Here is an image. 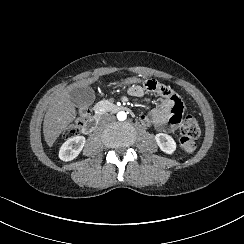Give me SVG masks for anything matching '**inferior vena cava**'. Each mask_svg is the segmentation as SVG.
<instances>
[{
    "label": "inferior vena cava",
    "instance_id": "1",
    "mask_svg": "<svg viewBox=\"0 0 244 244\" xmlns=\"http://www.w3.org/2000/svg\"><path fill=\"white\" fill-rule=\"evenodd\" d=\"M111 119L115 120V116H113V115H108V116H107V120L110 121Z\"/></svg>",
    "mask_w": 244,
    "mask_h": 244
}]
</instances>
